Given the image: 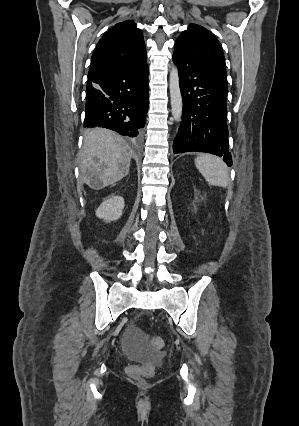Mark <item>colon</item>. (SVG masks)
Segmentation results:
<instances>
[{
    "mask_svg": "<svg viewBox=\"0 0 299 426\" xmlns=\"http://www.w3.org/2000/svg\"><path fill=\"white\" fill-rule=\"evenodd\" d=\"M138 335H141V331L137 330ZM151 343L154 348L160 350L164 347L165 343L161 337H153ZM127 374L136 380H142L144 378L150 377L153 374V367L151 365L147 366H130L127 368Z\"/></svg>",
    "mask_w": 299,
    "mask_h": 426,
    "instance_id": "obj_1",
    "label": "colon"
}]
</instances>
